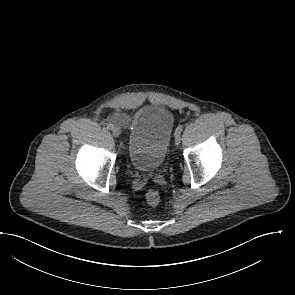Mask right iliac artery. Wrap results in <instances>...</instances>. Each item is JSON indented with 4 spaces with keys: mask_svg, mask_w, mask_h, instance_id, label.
Returning a JSON list of instances; mask_svg holds the SVG:
<instances>
[{
    "mask_svg": "<svg viewBox=\"0 0 295 295\" xmlns=\"http://www.w3.org/2000/svg\"><path fill=\"white\" fill-rule=\"evenodd\" d=\"M113 128H114L113 124H108V125H107V129H108V130H112Z\"/></svg>",
    "mask_w": 295,
    "mask_h": 295,
    "instance_id": "right-iliac-artery-1",
    "label": "right iliac artery"
}]
</instances>
